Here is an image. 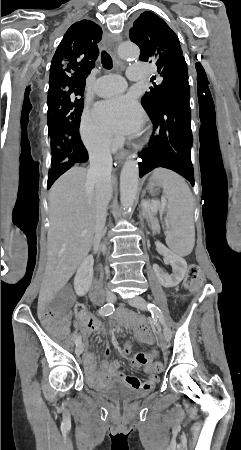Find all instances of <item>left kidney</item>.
Returning a JSON list of instances; mask_svg holds the SVG:
<instances>
[{
  "label": "left kidney",
  "instance_id": "5707ae66",
  "mask_svg": "<svg viewBox=\"0 0 241 450\" xmlns=\"http://www.w3.org/2000/svg\"><path fill=\"white\" fill-rule=\"evenodd\" d=\"M155 246L158 248L160 254L164 256L166 262H169L173 270V274L168 276V274L163 272L162 268H159L157 264H154L153 270L159 284L164 286V288H173V286H178L181 280H183L187 268L184 258H180V256H176V254L170 252V250L165 248L161 242H155Z\"/></svg>",
  "mask_w": 241,
  "mask_h": 450
}]
</instances>
